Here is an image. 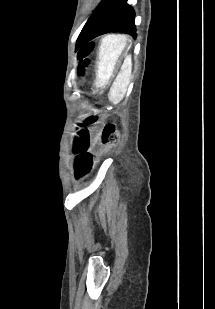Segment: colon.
<instances>
[{
    "label": "colon",
    "instance_id": "obj_1",
    "mask_svg": "<svg viewBox=\"0 0 215 309\" xmlns=\"http://www.w3.org/2000/svg\"><path fill=\"white\" fill-rule=\"evenodd\" d=\"M118 140L119 135L117 133L116 125L114 123H107L102 132V142L106 146L111 147L116 144Z\"/></svg>",
    "mask_w": 215,
    "mask_h": 309
}]
</instances>
